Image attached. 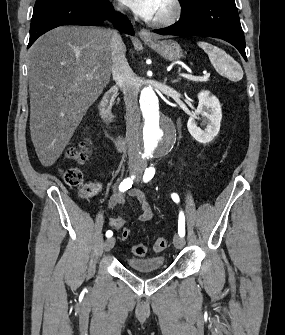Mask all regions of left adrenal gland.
<instances>
[{
    "mask_svg": "<svg viewBox=\"0 0 285 335\" xmlns=\"http://www.w3.org/2000/svg\"><path fill=\"white\" fill-rule=\"evenodd\" d=\"M180 78H178V80H172L173 84H175V82H179Z\"/></svg>",
    "mask_w": 285,
    "mask_h": 335,
    "instance_id": "left-adrenal-gland-1",
    "label": "left adrenal gland"
}]
</instances>
